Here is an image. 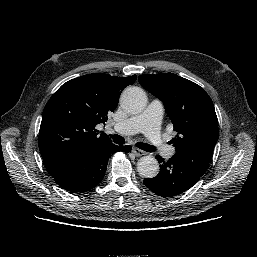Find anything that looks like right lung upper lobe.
I'll list each match as a JSON object with an SVG mask.
<instances>
[{
	"label": "right lung upper lobe",
	"instance_id": "right-lung-upper-lobe-1",
	"mask_svg": "<svg viewBox=\"0 0 257 257\" xmlns=\"http://www.w3.org/2000/svg\"><path fill=\"white\" fill-rule=\"evenodd\" d=\"M136 75L121 78L88 74L64 83L47 102L39 131V149L49 174L75 159L112 144L95 126L107 121L120 94Z\"/></svg>",
	"mask_w": 257,
	"mask_h": 257
}]
</instances>
